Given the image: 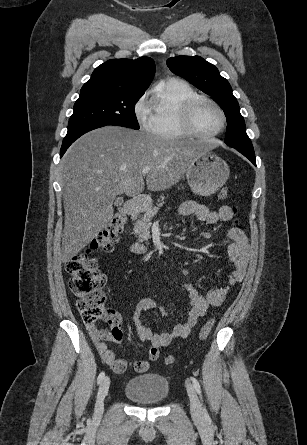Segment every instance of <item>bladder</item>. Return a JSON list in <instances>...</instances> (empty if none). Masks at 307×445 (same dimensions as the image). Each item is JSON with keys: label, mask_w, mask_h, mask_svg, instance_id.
<instances>
[{"label": "bladder", "mask_w": 307, "mask_h": 445, "mask_svg": "<svg viewBox=\"0 0 307 445\" xmlns=\"http://www.w3.org/2000/svg\"><path fill=\"white\" fill-rule=\"evenodd\" d=\"M170 391V385L162 375L144 373L130 378L124 393L130 400L145 406H156L163 403Z\"/></svg>", "instance_id": "bladder-1"}]
</instances>
